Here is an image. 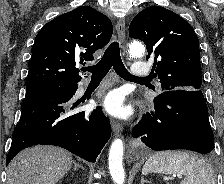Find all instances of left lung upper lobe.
<instances>
[{"label": "left lung upper lobe", "mask_w": 224, "mask_h": 184, "mask_svg": "<svg viewBox=\"0 0 224 184\" xmlns=\"http://www.w3.org/2000/svg\"><path fill=\"white\" fill-rule=\"evenodd\" d=\"M129 35L145 43L146 59H154L152 70L162 91L200 90L199 40L183 18L166 8L150 6L131 21Z\"/></svg>", "instance_id": "5c2ea615"}]
</instances>
